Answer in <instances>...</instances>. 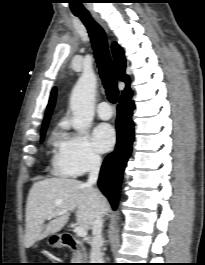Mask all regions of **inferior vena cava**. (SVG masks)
<instances>
[{"instance_id":"602c4592","label":"inferior vena cava","mask_w":205,"mask_h":265,"mask_svg":"<svg viewBox=\"0 0 205 265\" xmlns=\"http://www.w3.org/2000/svg\"><path fill=\"white\" fill-rule=\"evenodd\" d=\"M101 165V158L98 155L92 154L89 160V178L86 185L92 186L96 184L99 176ZM103 219L102 216H98L92 223L93 238L91 241L90 263H103V255L101 247L103 245L102 238Z\"/></svg>"}]
</instances>
